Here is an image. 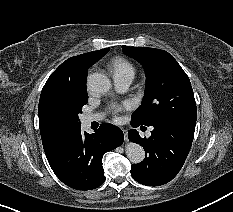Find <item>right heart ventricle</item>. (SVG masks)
<instances>
[{
	"instance_id": "e07e8e85",
	"label": "right heart ventricle",
	"mask_w": 233,
	"mask_h": 212,
	"mask_svg": "<svg viewBox=\"0 0 233 212\" xmlns=\"http://www.w3.org/2000/svg\"><path fill=\"white\" fill-rule=\"evenodd\" d=\"M110 69L113 72L114 77L117 76H129L134 77L135 67L133 64L125 58L115 57L110 62Z\"/></svg>"
}]
</instances>
